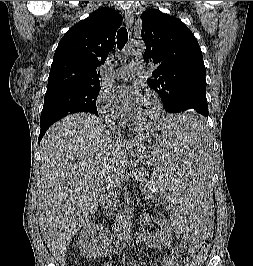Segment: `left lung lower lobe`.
<instances>
[{"instance_id":"left-lung-lower-lobe-1","label":"left lung lower lobe","mask_w":253,"mask_h":266,"mask_svg":"<svg viewBox=\"0 0 253 266\" xmlns=\"http://www.w3.org/2000/svg\"><path fill=\"white\" fill-rule=\"evenodd\" d=\"M183 112L191 113L193 115H197V113H198V111L192 106L185 107ZM192 124L194 126V129L196 128V129L199 130L203 126V121H201V120H193Z\"/></svg>"}]
</instances>
